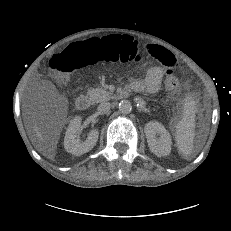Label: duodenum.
Returning a JSON list of instances; mask_svg holds the SVG:
<instances>
[{"mask_svg":"<svg viewBox=\"0 0 231 231\" xmlns=\"http://www.w3.org/2000/svg\"><path fill=\"white\" fill-rule=\"evenodd\" d=\"M128 94V90L120 93L118 97H124ZM91 105V98L88 95H79L76 97V107L79 110H87Z\"/></svg>","mask_w":231,"mask_h":231,"instance_id":"1","label":"duodenum"}]
</instances>
